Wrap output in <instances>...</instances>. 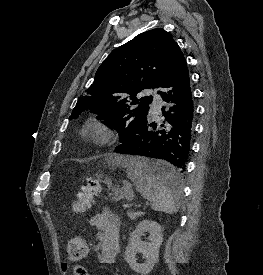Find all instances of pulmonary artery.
<instances>
[{"mask_svg":"<svg viewBox=\"0 0 263 275\" xmlns=\"http://www.w3.org/2000/svg\"><path fill=\"white\" fill-rule=\"evenodd\" d=\"M147 95H151L153 97L152 103H151V110L153 113H158L162 106V99L159 95L156 94L155 91H148Z\"/></svg>","mask_w":263,"mask_h":275,"instance_id":"obj_1","label":"pulmonary artery"}]
</instances>
